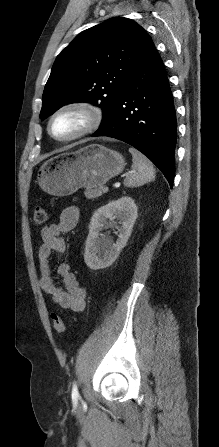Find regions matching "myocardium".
I'll list each match as a JSON object with an SVG mask.
<instances>
[{
    "label": "myocardium",
    "mask_w": 219,
    "mask_h": 447,
    "mask_svg": "<svg viewBox=\"0 0 219 447\" xmlns=\"http://www.w3.org/2000/svg\"><path fill=\"white\" fill-rule=\"evenodd\" d=\"M67 112L81 113L85 118V123L75 133L66 137H58L52 132V123L58 116ZM102 122L103 112L97 105L86 101H73L60 106L50 115L47 122V131L48 134L57 141L70 142L93 133L100 127Z\"/></svg>",
    "instance_id": "1"
}]
</instances>
